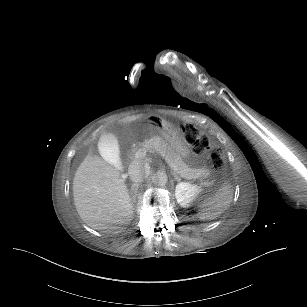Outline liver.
Masks as SVG:
<instances>
[{
    "label": "liver",
    "instance_id": "6515ba94",
    "mask_svg": "<svg viewBox=\"0 0 307 307\" xmlns=\"http://www.w3.org/2000/svg\"><path fill=\"white\" fill-rule=\"evenodd\" d=\"M138 118L127 116L121 122L130 123ZM73 196L80 218L96 230L125 224L133 213L129 190L119 171L96 155H87L77 168Z\"/></svg>",
    "mask_w": 307,
    "mask_h": 307
}]
</instances>
